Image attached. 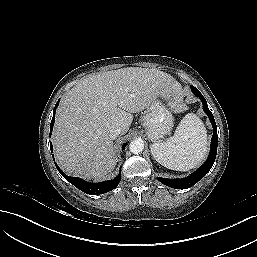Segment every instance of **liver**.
Wrapping results in <instances>:
<instances>
[{
	"mask_svg": "<svg viewBox=\"0 0 257 257\" xmlns=\"http://www.w3.org/2000/svg\"><path fill=\"white\" fill-rule=\"evenodd\" d=\"M178 88L175 79L157 69L127 67L91 75L61 101L52 134L55 157L68 174L99 180L116 166L111 131L125 134L133 114L153 98ZM175 112L181 107L171 104Z\"/></svg>",
	"mask_w": 257,
	"mask_h": 257,
	"instance_id": "6515ba94",
	"label": "liver"
}]
</instances>
